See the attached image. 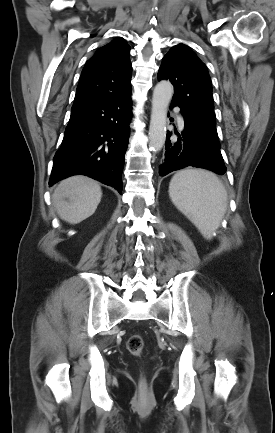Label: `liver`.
I'll use <instances>...</instances> for the list:
<instances>
[{
    "label": "liver",
    "mask_w": 275,
    "mask_h": 433,
    "mask_svg": "<svg viewBox=\"0 0 275 433\" xmlns=\"http://www.w3.org/2000/svg\"><path fill=\"white\" fill-rule=\"evenodd\" d=\"M101 197L100 185L79 175L62 180L54 190L52 202L62 220L78 224L94 214Z\"/></svg>",
    "instance_id": "liver-1"
}]
</instances>
